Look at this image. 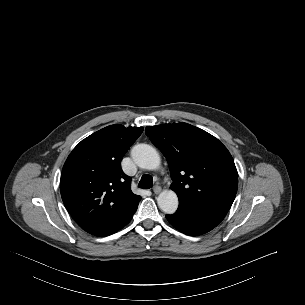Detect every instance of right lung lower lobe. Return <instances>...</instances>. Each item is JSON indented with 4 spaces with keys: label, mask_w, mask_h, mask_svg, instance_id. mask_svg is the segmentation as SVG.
Here are the masks:
<instances>
[{
    "label": "right lung lower lobe",
    "mask_w": 305,
    "mask_h": 305,
    "mask_svg": "<svg viewBox=\"0 0 305 305\" xmlns=\"http://www.w3.org/2000/svg\"><path fill=\"white\" fill-rule=\"evenodd\" d=\"M135 212H133L130 216H128L125 220L121 221L120 223H118L114 228H112L109 231L106 232H101V233H97V234H93L96 236H108L111 235L115 232H117L118 230H120L121 228H123L125 225H127L129 223V221L132 219V216Z\"/></svg>",
    "instance_id": "obj_1"
}]
</instances>
